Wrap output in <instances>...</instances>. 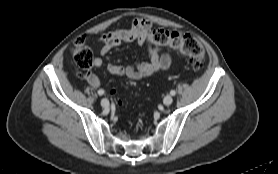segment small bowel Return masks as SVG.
Wrapping results in <instances>:
<instances>
[{
    "label": "small bowel",
    "mask_w": 278,
    "mask_h": 174,
    "mask_svg": "<svg viewBox=\"0 0 278 174\" xmlns=\"http://www.w3.org/2000/svg\"><path fill=\"white\" fill-rule=\"evenodd\" d=\"M152 31V23L146 18H135L131 25L127 28H117L113 31L105 33L99 37L102 44L100 55L93 60V66L100 68L105 57L111 49L124 43L136 42L140 47L147 50L148 61L136 62L126 66L119 64H109L107 70L109 73L117 76L126 75L132 80H140L153 75L160 70H167L172 63L171 52H164L163 46L156 45L150 40V32ZM87 82L93 88L101 86L100 78L94 73H88L85 76Z\"/></svg>",
    "instance_id": "1"
}]
</instances>
